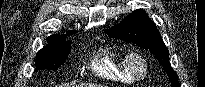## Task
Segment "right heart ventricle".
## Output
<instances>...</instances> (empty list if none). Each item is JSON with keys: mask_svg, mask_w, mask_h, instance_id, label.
<instances>
[{"mask_svg": "<svg viewBox=\"0 0 205 87\" xmlns=\"http://www.w3.org/2000/svg\"><path fill=\"white\" fill-rule=\"evenodd\" d=\"M90 67L97 77L108 81L117 83H132L135 81V78L126 68L125 56L108 46L99 48L93 53Z\"/></svg>", "mask_w": 205, "mask_h": 87, "instance_id": "1", "label": "right heart ventricle"}]
</instances>
